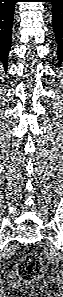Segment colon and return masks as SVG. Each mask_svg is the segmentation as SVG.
Wrapping results in <instances>:
<instances>
[{"label": "colon", "mask_w": 63, "mask_h": 297, "mask_svg": "<svg viewBox=\"0 0 63 297\" xmlns=\"http://www.w3.org/2000/svg\"><path fill=\"white\" fill-rule=\"evenodd\" d=\"M40 260L34 255L26 256L19 265V274L23 277H34L41 273Z\"/></svg>", "instance_id": "obj_1"}]
</instances>
